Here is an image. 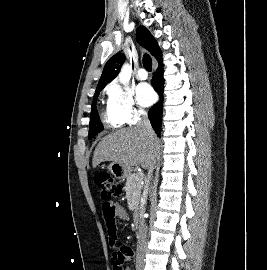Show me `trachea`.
Returning a JSON list of instances; mask_svg holds the SVG:
<instances>
[{
  "mask_svg": "<svg viewBox=\"0 0 267 270\" xmlns=\"http://www.w3.org/2000/svg\"><path fill=\"white\" fill-rule=\"evenodd\" d=\"M143 66L149 72L152 70V59L148 54L143 56Z\"/></svg>",
  "mask_w": 267,
  "mask_h": 270,
  "instance_id": "trachea-1",
  "label": "trachea"
}]
</instances>
